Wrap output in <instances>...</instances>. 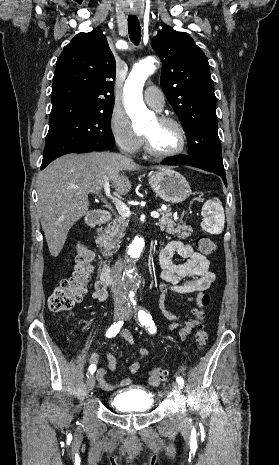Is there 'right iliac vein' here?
Returning <instances> with one entry per match:
<instances>
[{
    "label": "right iliac vein",
    "instance_id": "obj_1",
    "mask_svg": "<svg viewBox=\"0 0 279 465\" xmlns=\"http://www.w3.org/2000/svg\"><path fill=\"white\" fill-rule=\"evenodd\" d=\"M124 315L123 308H115L113 313L114 320L120 319ZM95 386V376L93 374L88 375L86 380V391L87 393L91 392Z\"/></svg>",
    "mask_w": 279,
    "mask_h": 465
}]
</instances>
